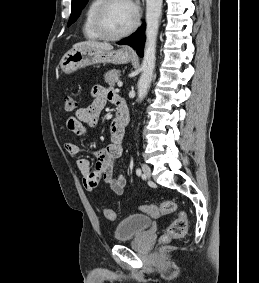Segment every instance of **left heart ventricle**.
Here are the masks:
<instances>
[{"label":"left heart ventricle","instance_id":"left-heart-ventricle-1","mask_svg":"<svg viewBox=\"0 0 259 283\" xmlns=\"http://www.w3.org/2000/svg\"><path fill=\"white\" fill-rule=\"evenodd\" d=\"M134 9L128 0H114L104 11L103 25L111 34L125 31L133 22Z\"/></svg>","mask_w":259,"mask_h":283}]
</instances>
